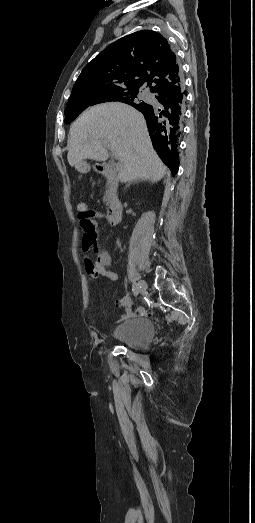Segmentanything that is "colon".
I'll list each match as a JSON object with an SVG mask.
<instances>
[{"label": "colon", "mask_w": 255, "mask_h": 523, "mask_svg": "<svg viewBox=\"0 0 255 523\" xmlns=\"http://www.w3.org/2000/svg\"><path fill=\"white\" fill-rule=\"evenodd\" d=\"M76 210H77V216H78V219L80 222H88L91 219V211H90L87 203L79 202L76 205ZM121 304L127 309H131L133 307L131 301L126 297H124L122 299ZM135 312L139 315L145 314V311L140 307H137L135 309Z\"/></svg>", "instance_id": "1"}]
</instances>
